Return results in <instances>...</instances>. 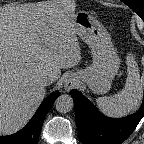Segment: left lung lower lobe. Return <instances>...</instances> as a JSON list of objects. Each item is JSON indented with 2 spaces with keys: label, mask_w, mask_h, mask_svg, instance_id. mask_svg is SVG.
<instances>
[{
  "label": "left lung lower lobe",
  "mask_w": 144,
  "mask_h": 144,
  "mask_svg": "<svg viewBox=\"0 0 144 144\" xmlns=\"http://www.w3.org/2000/svg\"><path fill=\"white\" fill-rule=\"evenodd\" d=\"M75 119L82 144H121L134 131L144 115V99L138 112L121 119L102 115L77 90H72Z\"/></svg>",
  "instance_id": "0a47b994"
}]
</instances>
